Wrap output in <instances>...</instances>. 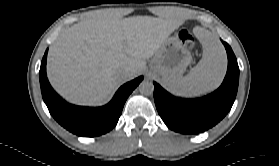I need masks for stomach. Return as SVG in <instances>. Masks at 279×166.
<instances>
[{"mask_svg": "<svg viewBox=\"0 0 279 166\" xmlns=\"http://www.w3.org/2000/svg\"><path fill=\"white\" fill-rule=\"evenodd\" d=\"M192 56L177 37L167 38L153 57L150 67L164 83L182 77Z\"/></svg>", "mask_w": 279, "mask_h": 166, "instance_id": "1", "label": "stomach"}]
</instances>
